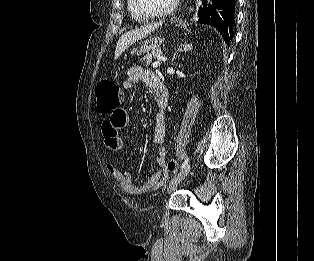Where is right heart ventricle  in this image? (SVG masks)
<instances>
[{
  "label": "right heart ventricle",
  "mask_w": 314,
  "mask_h": 261,
  "mask_svg": "<svg viewBox=\"0 0 314 261\" xmlns=\"http://www.w3.org/2000/svg\"><path fill=\"white\" fill-rule=\"evenodd\" d=\"M127 9L132 19L136 21H144L147 19V17L143 16L141 13L138 12V10L135 7V1L134 0H126Z\"/></svg>",
  "instance_id": "obj_1"
}]
</instances>
